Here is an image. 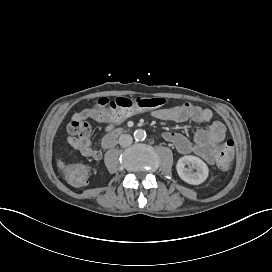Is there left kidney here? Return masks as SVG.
<instances>
[{
  "mask_svg": "<svg viewBox=\"0 0 272 272\" xmlns=\"http://www.w3.org/2000/svg\"><path fill=\"white\" fill-rule=\"evenodd\" d=\"M194 169V171H192ZM179 176L190 184H200L208 176L206 164L195 156H184L178 160Z\"/></svg>",
  "mask_w": 272,
  "mask_h": 272,
  "instance_id": "left-kidney-1",
  "label": "left kidney"
}]
</instances>
